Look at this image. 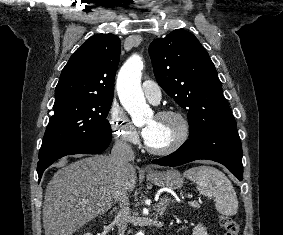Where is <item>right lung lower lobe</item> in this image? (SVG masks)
Listing matches in <instances>:
<instances>
[{
  "label": "right lung lower lobe",
  "instance_id": "obj_1",
  "mask_svg": "<svg viewBox=\"0 0 283 235\" xmlns=\"http://www.w3.org/2000/svg\"><path fill=\"white\" fill-rule=\"evenodd\" d=\"M111 138H112L111 135H105V136L94 137L89 140H78L53 150L45 157L39 159L37 165L39 181L42 177L44 170L57 159L71 154L99 153L108 147Z\"/></svg>",
  "mask_w": 283,
  "mask_h": 235
}]
</instances>
